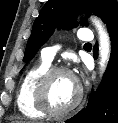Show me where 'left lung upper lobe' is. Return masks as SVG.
Segmentation results:
<instances>
[{
  "instance_id": "obj_1",
  "label": "left lung upper lobe",
  "mask_w": 118,
  "mask_h": 123,
  "mask_svg": "<svg viewBox=\"0 0 118 123\" xmlns=\"http://www.w3.org/2000/svg\"><path fill=\"white\" fill-rule=\"evenodd\" d=\"M116 0H49L40 11L32 27L23 61H30L40 47L50 38L56 26L63 29L79 25L78 14L94 13L106 24L118 14ZM80 24L87 26L86 19Z\"/></svg>"
}]
</instances>
